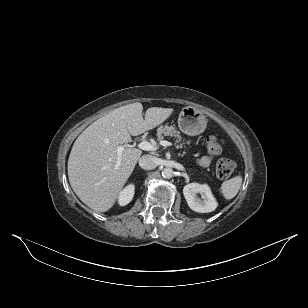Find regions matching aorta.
Instances as JSON below:
<instances>
[{
  "mask_svg": "<svg viewBox=\"0 0 308 308\" xmlns=\"http://www.w3.org/2000/svg\"><path fill=\"white\" fill-rule=\"evenodd\" d=\"M173 174H174V171H173L172 168H164V169L162 170V176H163L164 178H166V179L171 178V177L173 176Z\"/></svg>",
  "mask_w": 308,
  "mask_h": 308,
  "instance_id": "aorta-1",
  "label": "aorta"
}]
</instances>
